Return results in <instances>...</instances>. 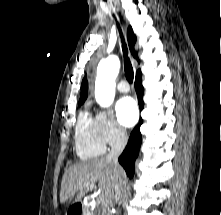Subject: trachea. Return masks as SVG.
Masks as SVG:
<instances>
[{
	"label": "trachea",
	"instance_id": "1",
	"mask_svg": "<svg viewBox=\"0 0 221 215\" xmlns=\"http://www.w3.org/2000/svg\"><path fill=\"white\" fill-rule=\"evenodd\" d=\"M119 31H120L121 41H122V48H123V56H124V63H125V65H124L125 66V76H126V79L128 80V82L132 83L133 78H134L133 68H132L130 59L128 57V50H127V46L124 41L121 29H119Z\"/></svg>",
	"mask_w": 221,
	"mask_h": 215
}]
</instances>
